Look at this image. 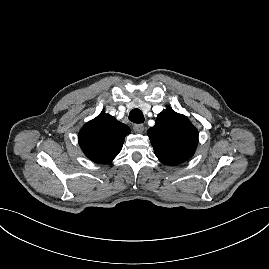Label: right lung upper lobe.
Here are the masks:
<instances>
[{
	"instance_id": "1",
	"label": "right lung upper lobe",
	"mask_w": 269,
	"mask_h": 269,
	"mask_svg": "<svg viewBox=\"0 0 269 269\" xmlns=\"http://www.w3.org/2000/svg\"><path fill=\"white\" fill-rule=\"evenodd\" d=\"M130 132L127 125L113 116L100 113L80 130L79 145L90 160L98 164H106L118 155L125 136Z\"/></svg>"
}]
</instances>
